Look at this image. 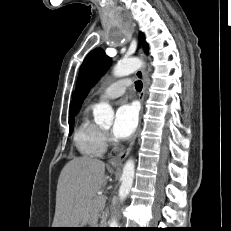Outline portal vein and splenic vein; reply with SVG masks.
<instances>
[{"mask_svg":"<svg viewBox=\"0 0 231 231\" xmlns=\"http://www.w3.org/2000/svg\"><path fill=\"white\" fill-rule=\"evenodd\" d=\"M101 201H102V202H105V198H104V197H102V198H101Z\"/></svg>","mask_w":231,"mask_h":231,"instance_id":"1","label":"portal vein and splenic vein"}]
</instances>
